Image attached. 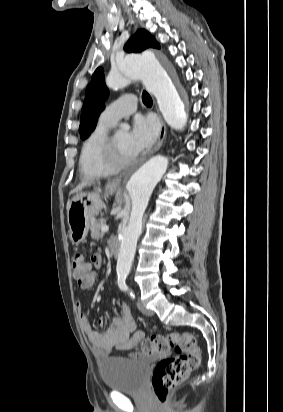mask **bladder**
Instances as JSON below:
<instances>
[{
	"label": "bladder",
	"mask_w": 283,
	"mask_h": 412,
	"mask_svg": "<svg viewBox=\"0 0 283 412\" xmlns=\"http://www.w3.org/2000/svg\"><path fill=\"white\" fill-rule=\"evenodd\" d=\"M149 365L127 359H111L101 364L105 387L120 392H141L144 389Z\"/></svg>",
	"instance_id": "bladder-1"
}]
</instances>
